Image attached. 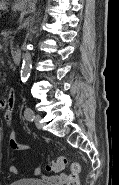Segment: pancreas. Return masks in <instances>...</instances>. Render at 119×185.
I'll return each mask as SVG.
<instances>
[{
  "label": "pancreas",
  "instance_id": "pancreas-1",
  "mask_svg": "<svg viewBox=\"0 0 119 185\" xmlns=\"http://www.w3.org/2000/svg\"><path fill=\"white\" fill-rule=\"evenodd\" d=\"M8 34H10V32H3L2 33V35H3L4 38H6Z\"/></svg>",
  "mask_w": 119,
  "mask_h": 185
}]
</instances>
